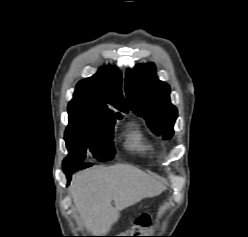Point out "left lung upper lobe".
<instances>
[{
  "label": "left lung upper lobe",
  "instance_id": "obj_1",
  "mask_svg": "<svg viewBox=\"0 0 248 237\" xmlns=\"http://www.w3.org/2000/svg\"><path fill=\"white\" fill-rule=\"evenodd\" d=\"M126 95L132 110L142 116L149 128L163 139L173 135L177 109L170 102V87L158 80L154 64L139 65L126 73Z\"/></svg>",
  "mask_w": 248,
  "mask_h": 237
}]
</instances>
